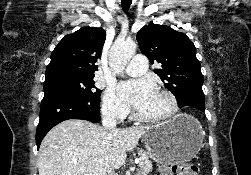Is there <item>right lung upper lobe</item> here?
Instances as JSON below:
<instances>
[{
  "instance_id": "cb5924a9",
  "label": "right lung upper lobe",
  "mask_w": 251,
  "mask_h": 175,
  "mask_svg": "<svg viewBox=\"0 0 251 175\" xmlns=\"http://www.w3.org/2000/svg\"><path fill=\"white\" fill-rule=\"evenodd\" d=\"M105 39L106 32L97 27H82L64 36L51 54L46 77L95 76Z\"/></svg>"
}]
</instances>
